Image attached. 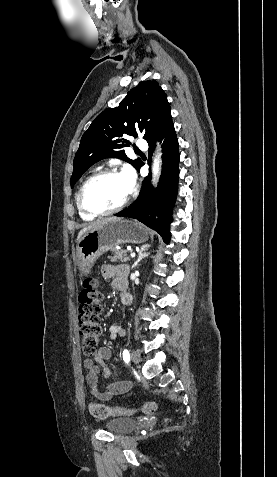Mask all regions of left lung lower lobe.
Here are the masks:
<instances>
[{
    "label": "left lung lower lobe",
    "instance_id": "0a47b994",
    "mask_svg": "<svg viewBox=\"0 0 277 477\" xmlns=\"http://www.w3.org/2000/svg\"><path fill=\"white\" fill-rule=\"evenodd\" d=\"M163 141V165L158 188L153 190L150 176L142 183L137 201L116 216L137 219L156 230L166 243L170 240L169 225L172 221L171 211L175 203L179 178L178 139L172 119L159 130L148 142L149 151H153L154 141ZM143 165L141 163L140 167ZM140 167L137 169L139 171Z\"/></svg>",
    "mask_w": 277,
    "mask_h": 477
}]
</instances>
